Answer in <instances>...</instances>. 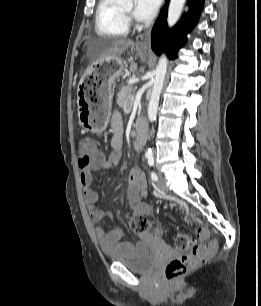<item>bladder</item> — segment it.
<instances>
[{
  "label": "bladder",
  "mask_w": 261,
  "mask_h": 306,
  "mask_svg": "<svg viewBox=\"0 0 261 306\" xmlns=\"http://www.w3.org/2000/svg\"><path fill=\"white\" fill-rule=\"evenodd\" d=\"M151 239L159 241L156 237ZM106 259L125 265L128 269L137 272L149 271L157 262L158 255L155 247L148 241L143 240L133 246L127 254H106Z\"/></svg>",
  "instance_id": "bladder-1"
}]
</instances>
